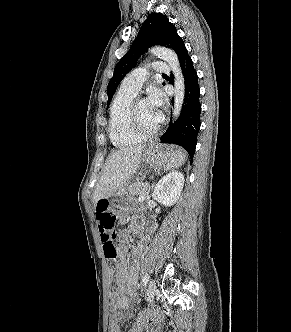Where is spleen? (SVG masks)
<instances>
[{"label": "spleen", "instance_id": "spleen-1", "mask_svg": "<svg viewBox=\"0 0 291 332\" xmlns=\"http://www.w3.org/2000/svg\"><path fill=\"white\" fill-rule=\"evenodd\" d=\"M186 160V154L182 150H177V155L174 156L166 166V170L174 169L182 164Z\"/></svg>", "mask_w": 291, "mask_h": 332}]
</instances>
